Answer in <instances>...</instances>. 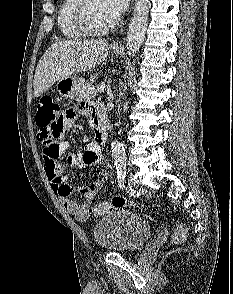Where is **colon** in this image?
I'll return each instance as SVG.
<instances>
[{"instance_id":"1","label":"colon","mask_w":233,"mask_h":294,"mask_svg":"<svg viewBox=\"0 0 233 294\" xmlns=\"http://www.w3.org/2000/svg\"><path fill=\"white\" fill-rule=\"evenodd\" d=\"M58 108L60 106L49 96L42 97L38 102L37 113H36V124L40 129V132H49L46 131V126H50L52 120H57ZM73 108V107H71ZM48 140V137H42ZM48 142H51L48 140ZM126 205H133L129 203L125 198L121 196H114L110 202H102L95 205L91 212L95 215H102L113 209L122 208ZM186 234V228L183 225H179L173 235V239L176 242H179L184 239Z\"/></svg>"}]
</instances>
